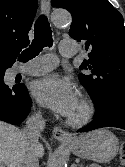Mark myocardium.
Segmentation results:
<instances>
[{"label":"myocardium","instance_id":"1","mask_svg":"<svg viewBox=\"0 0 125 167\" xmlns=\"http://www.w3.org/2000/svg\"><path fill=\"white\" fill-rule=\"evenodd\" d=\"M81 113L77 117H67V123L73 127H82L86 125L93 116V106L91 101L85 96L80 97Z\"/></svg>","mask_w":125,"mask_h":167}]
</instances>
